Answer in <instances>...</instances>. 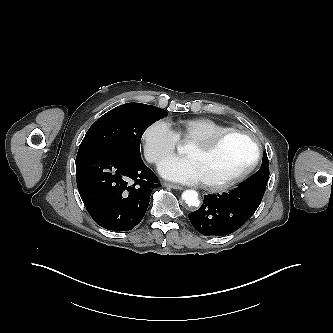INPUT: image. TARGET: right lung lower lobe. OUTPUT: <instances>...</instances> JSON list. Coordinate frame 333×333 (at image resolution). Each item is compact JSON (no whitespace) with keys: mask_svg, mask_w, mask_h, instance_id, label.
Wrapping results in <instances>:
<instances>
[{"mask_svg":"<svg viewBox=\"0 0 333 333\" xmlns=\"http://www.w3.org/2000/svg\"><path fill=\"white\" fill-rule=\"evenodd\" d=\"M76 181L93 220L113 231H128L143 219L157 176L141 158L107 149L78 150Z\"/></svg>","mask_w":333,"mask_h":333,"instance_id":"1","label":"right lung lower lobe"}]
</instances>
